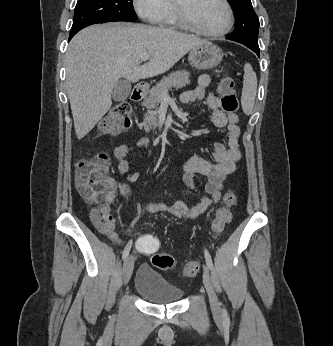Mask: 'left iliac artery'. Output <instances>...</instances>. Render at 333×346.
Returning <instances> with one entry per match:
<instances>
[{
    "mask_svg": "<svg viewBox=\"0 0 333 346\" xmlns=\"http://www.w3.org/2000/svg\"><path fill=\"white\" fill-rule=\"evenodd\" d=\"M204 256H205V261H206L207 266H208L210 269H213L212 258H211V256H210L209 252L207 251V249H205V251H204ZM223 317H224V319H226V320L228 319V314H227V311H226L225 308L223 309Z\"/></svg>",
    "mask_w": 333,
    "mask_h": 346,
    "instance_id": "left-iliac-artery-1",
    "label": "left iliac artery"
}]
</instances>
